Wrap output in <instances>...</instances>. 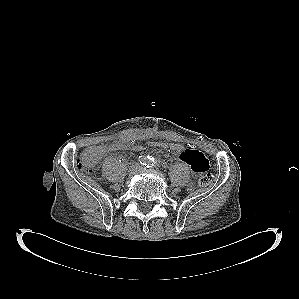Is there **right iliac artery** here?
Returning <instances> with one entry per match:
<instances>
[{
  "mask_svg": "<svg viewBox=\"0 0 299 299\" xmlns=\"http://www.w3.org/2000/svg\"><path fill=\"white\" fill-rule=\"evenodd\" d=\"M139 162L142 165H147V163H148L147 159L145 157H142V156L140 157Z\"/></svg>",
  "mask_w": 299,
  "mask_h": 299,
  "instance_id": "right-iliac-artery-1",
  "label": "right iliac artery"
}]
</instances>
